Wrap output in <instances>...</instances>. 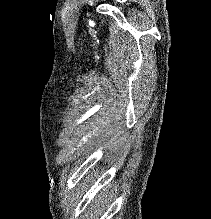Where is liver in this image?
<instances>
[{"mask_svg": "<svg viewBox=\"0 0 211 219\" xmlns=\"http://www.w3.org/2000/svg\"><path fill=\"white\" fill-rule=\"evenodd\" d=\"M89 211L87 212V219H99V216L103 213L107 199L103 196H99V199L93 200Z\"/></svg>", "mask_w": 211, "mask_h": 219, "instance_id": "6515ba94", "label": "liver"}]
</instances>
